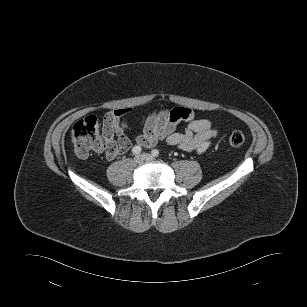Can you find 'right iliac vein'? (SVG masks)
Instances as JSON below:
<instances>
[{
    "label": "right iliac vein",
    "instance_id": "1",
    "mask_svg": "<svg viewBox=\"0 0 307 307\" xmlns=\"http://www.w3.org/2000/svg\"><path fill=\"white\" fill-rule=\"evenodd\" d=\"M134 161L137 164H142L144 162V157L142 155H137V156H135Z\"/></svg>",
    "mask_w": 307,
    "mask_h": 307
}]
</instances>
